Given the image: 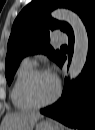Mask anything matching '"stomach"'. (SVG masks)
I'll use <instances>...</instances> for the list:
<instances>
[{
  "label": "stomach",
  "instance_id": "0dacf381",
  "mask_svg": "<svg viewBox=\"0 0 95 130\" xmlns=\"http://www.w3.org/2000/svg\"><path fill=\"white\" fill-rule=\"evenodd\" d=\"M35 130H62V127L54 120H43L40 121Z\"/></svg>",
  "mask_w": 95,
  "mask_h": 130
}]
</instances>
